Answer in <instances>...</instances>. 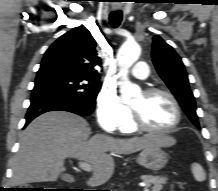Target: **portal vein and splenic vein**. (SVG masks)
Segmentation results:
<instances>
[{
	"label": "portal vein and splenic vein",
	"mask_w": 218,
	"mask_h": 191,
	"mask_svg": "<svg viewBox=\"0 0 218 191\" xmlns=\"http://www.w3.org/2000/svg\"><path fill=\"white\" fill-rule=\"evenodd\" d=\"M78 166L86 171V172H91L92 171V166L88 163V162H84V161H80L78 163ZM140 186L144 187L143 191H150V189L147 188V186L145 184H140Z\"/></svg>",
	"instance_id": "obj_1"
}]
</instances>
